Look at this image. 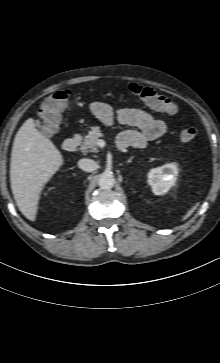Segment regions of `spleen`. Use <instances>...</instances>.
Instances as JSON below:
<instances>
[{
	"instance_id": "1",
	"label": "spleen",
	"mask_w": 220,
	"mask_h": 363,
	"mask_svg": "<svg viewBox=\"0 0 220 363\" xmlns=\"http://www.w3.org/2000/svg\"><path fill=\"white\" fill-rule=\"evenodd\" d=\"M196 208V206L193 208V210ZM193 210H191L189 213H188V215H190L192 212H193Z\"/></svg>"
}]
</instances>
